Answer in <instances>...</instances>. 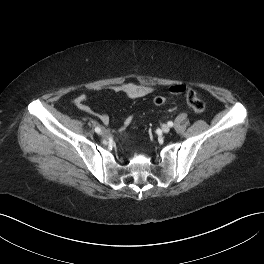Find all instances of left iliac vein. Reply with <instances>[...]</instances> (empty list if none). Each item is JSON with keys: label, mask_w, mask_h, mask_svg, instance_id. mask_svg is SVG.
<instances>
[{"label": "left iliac vein", "mask_w": 264, "mask_h": 264, "mask_svg": "<svg viewBox=\"0 0 264 264\" xmlns=\"http://www.w3.org/2000/svg\"><path fill=\"white\" fill-rule=\"evenodd\" d=\"M161 129H162V131L164 133H168L170 131V126L167 125V124H164V125H162V128Z\"/></svg>", "instance_id": "1"}]
</instances>
